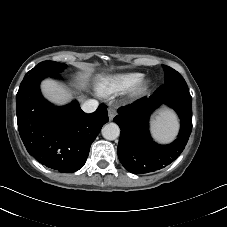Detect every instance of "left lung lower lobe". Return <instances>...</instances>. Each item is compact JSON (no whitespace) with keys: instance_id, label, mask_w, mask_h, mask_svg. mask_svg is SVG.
Listing matches in <instances>:
<instances>
[{"instance_id":"obj_1","label":"left lung lower lobe","mask_w":227,"mask_h":227,"mask_svg":"<svg viewBox=\"0 0 227 227\" xmlns=\"http://www.w3.org/2000/svg\"><path fill=\"white\" fill-rule=\"evenodd\" d=\"M161 104L173 108L181 120L178 138L159 145L149 133V117ZM114 122L121 129L118 157L126 170L149 173L172 163L184 150L192 130V97L187 84H163L149 97L118 109Z\"/></svg>"}]
</instances>
